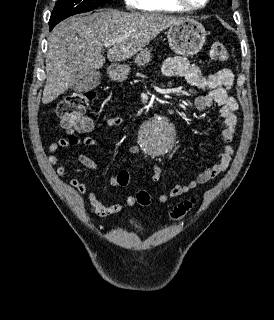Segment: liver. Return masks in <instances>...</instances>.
Returning a JSON list of instances; mask_svg holds the SVG:
<instances>
[{"mask_svg": "<svg viewBox=\"0 0 274 320\" xmlns=\"http://www.w3.org/2000/svg\"><path fill=\"white\" fill-rule=\"evenodd\" d=\"M181 18L155 12L126 14L118 10H96L78 14L53 28L46 54V78L42 104H50L70 88L75 72L100 70L105 64L104 44L109 62H124L141 52L160 32Z\"/></svg>", "mask_w": 274, "mask_h": 320, "instance_id": "6515ba94", "label": "liver"}]
</instances>
